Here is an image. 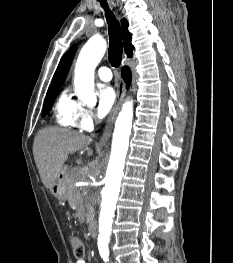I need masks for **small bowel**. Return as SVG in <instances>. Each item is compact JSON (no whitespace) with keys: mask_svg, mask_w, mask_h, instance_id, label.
Wrapping results in <instances>:
<instances>
[{"mask_svg":"<svg viewBox=\"0 0 233 263\" xmlns=\"http://www.w3.org/2000/svg\"><path fill=\"white\" fill-rule=\"evenodd\" d=\"M76 263H87L86 260L81 259V260H77Z\"/></svg>","mask_w":233,"mask_h":263,"instance_id":"c3829d8e","label":"small bowel"}]
</instances>
